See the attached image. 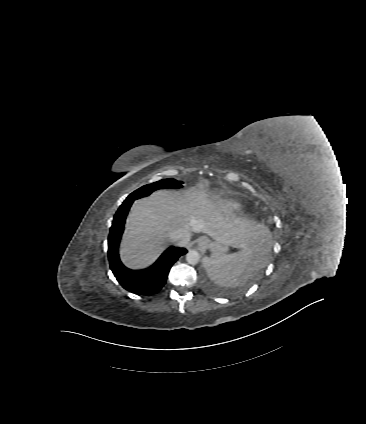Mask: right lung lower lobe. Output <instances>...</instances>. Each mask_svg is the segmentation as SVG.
Listing matches in <instances>:
<instances>
[{
	"label": "right lung lower lobe",
	"mask_w": 366,
	"mask_h": 424,
	"mask_svg": "<svg viewBox=\"0 0 366 424\" xmlns=\"http://www.w3.org/2000/svg\"><path fill=\"white\" fill-rule=\"evenodd\" d=\"M133 201H124L114 216L108 237V258L110 268L123 288L135 294L151 295L163 287L170 268L187 250L172 246L148 269L134 271L126 268L119 259L118 246L125 219Z\"/></svg>",
	"instance_id": "right-lung-lower-lobe-1"
}]
</instances>
